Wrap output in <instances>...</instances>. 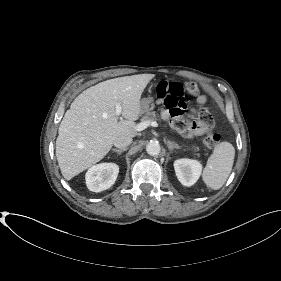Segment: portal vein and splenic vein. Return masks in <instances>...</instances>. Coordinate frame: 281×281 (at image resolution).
I'll return each mask as SVG.
<instances>
[{
  "instance_id": "portal-vein-and-splenic-vein-1",
  "label": "portal vein and splenic vein",
  "mask_w": 281,
  "mask_h": 281,
  "mask_svg": "<svg viewBox=\"0 0 281 281\" xmlns=\"http://www.w3.org/2000/svg\"><path fill=\"white\" fill-rule=\"evenodd\" d=\"M122 112V107L120 104L116 105V115L119 117ZM148 126L158 127V123L156 121H142L141 123L136 125L137 131L145 130Z\"/></svg>"
}]
</instances>
